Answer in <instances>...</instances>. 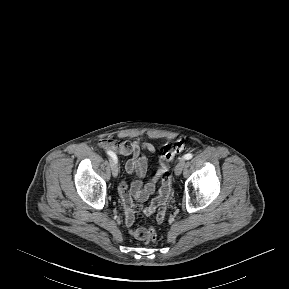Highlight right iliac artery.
<instances>
[{"label":"right iliac artery","instance_id":"right-iliac-artery-1","mask_svg":"<svg viewBox=\"0 0 289 289\" xmlns=\"http://www.w3.org/2000/svg\"><path fill=\"white\" fill-rule=\"evenodd\" d=\"M106 153H107V155H109V156L112 158V160H113L115 163H117V156H116L115 153H113L112 151H107Z\"/></svg>","mask_w":289,"mask_h":289}]
</instances>
